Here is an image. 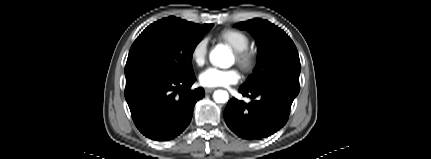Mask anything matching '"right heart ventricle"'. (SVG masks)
Listing matches in <instances>:
<instances>
[{"label":"right heart ventricle","mask_w":431,"mask_h":159,"mask_svg":"<svg viewBox=\"0 0 431 159\" xmlns=\"http://www.w3.org/2000/svg\"><path fill=\"white\" fill-rule=\"evenodd\" d=\"M218 38L234 51L244 50L250 44L249 37L244 32L236 29H225L218 34Z\"/></svg>","instance_id":"obj_1"}]
</instances>
